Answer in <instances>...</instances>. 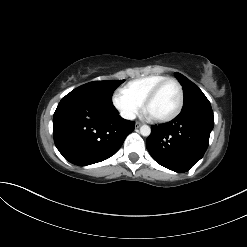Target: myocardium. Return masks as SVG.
<instances>
[{
    "label": "myocardium",
    "mask_w": 247,
    "mask_h": 247,
    "mask_svg": "<svg viewBox=\"0 0 247 247\" xmlns=\"http://www.w3.org/2000/svg\"><path fill=\"white\" fill-rule=\"evenodd\" d=\"M168 83H174L178 89V93H179V102L178 105L176 107V109L168 116L165 117H153L152 119L155 122L158 123H166V122H170L173 119H175L182 111L183 106H184V101H185V97H184V91H183V86L181 85V83L173 77H167L164 80H162L161 82H159L145 97L144 101H143V107L145 110H147V106L149 105V103L156 97V95L160 92V90Z\"/></svg>",
    "instance_id": "1"
}]
</instances>
